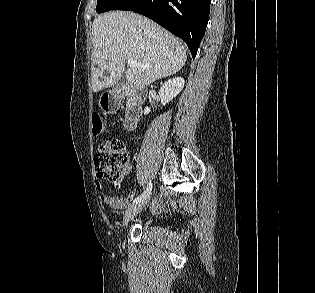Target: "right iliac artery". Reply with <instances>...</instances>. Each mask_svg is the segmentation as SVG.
Here are the masks:
<instances>
[{
  "instance_id": "1",
  "label": "right iliac artery",
  "mask_w": 315,
  "mask_h": 293,
  "mask_svg": "<svg viewBox=\"0 0 315 293\" xmlns=\"http://www.w3.org/2000/svg\"><path fill=\"white\" fill-rule=\"evenodd\" d=\"M151 189H152V183L150 181L148 183L147 188L144 190V192L141 195H139L137 198H135L133 203H137V202L141 201L142 199H144L145 197H147L149 195Z\"/></svg>"
}]
</instances>
